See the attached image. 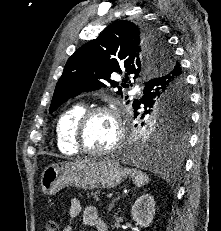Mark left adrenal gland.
<instances>
[{
	"instance_id": "left-adrenal-gland-1",
	"label": "left adrenal gland",
	"mask_w": 221,
	"mask_h": 231,
	"mask_svg": "<svg viewBox=\"0 0 221 231\" xmlns=\"http://www.w3.org/2000/svg\"><path fill=\"white\" fill-rule=\"evenodd\" d=\"M115 202H116V200H114V201L109 205V208H108L109 211L113 208Z\"/></svg>"
}]
</instances>
